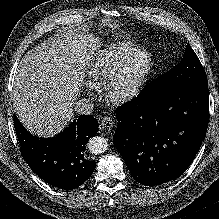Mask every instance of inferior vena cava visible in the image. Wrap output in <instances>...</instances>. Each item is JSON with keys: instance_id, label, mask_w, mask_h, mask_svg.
<instances>
[{"instance_id": "obj_1", "label": "inferior vena cava", "mask_w": 219, "mask_h": 219, "mask_svg": "<svg viewBox=\"0 0 219 219\" xmlns=\"http://www.w3.org/2000/svg\"><path fill=\"white\" fill-rule=\"evenodd\" d=\"M94 104L89 99H81L75 103V111L79 114H91L93 112Z\"/></svg>"}]
</instances>
